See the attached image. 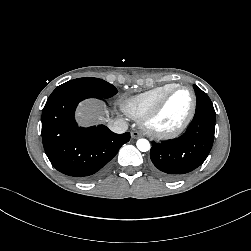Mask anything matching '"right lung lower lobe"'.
<instances>
[{
	"mask_svg": "<svg viewBox=\"0 0 251 251\" xmlns=\"http://www.w3.org/2000/svg\"><path fill=\"white\" fill-rule=\"evenodd\" d=\"M89 97L68 93L49 97L42 112V141L52 165L82 181L102 176L130 133L116 134L104 125L78 127L74 113Z\"/></svg>",
	"mask_w": 251,
	"mask_h": 251,
	"instance_id": "98d812e1",
	"label": "right lung lower lobe"
}]
</instances>
